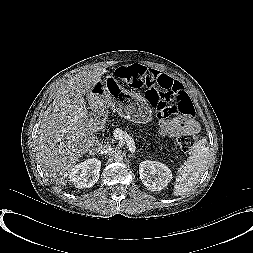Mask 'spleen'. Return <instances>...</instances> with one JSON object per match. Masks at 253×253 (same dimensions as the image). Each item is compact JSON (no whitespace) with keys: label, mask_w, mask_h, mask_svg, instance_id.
Instances as JSON below:
<instances>
[{"label":"spleen","mask_w":253,"mask_h":253,"mask_svg":"<svg viewBox=\"0 0 253 253\" xmlns=\"http://www.w3.org/2000/svg\"><path fill=\"white\" fill-rule=\"evenodd\" d=\"M209 158V147L206 139H201L192 147L191 155L178 169L174 196H182L189 192L202 177Z\"/></svg>","instance_id":"spleen-1"}]
</instances>
